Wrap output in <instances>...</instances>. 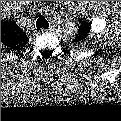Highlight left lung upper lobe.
I'll return each mask as SVG.
<instances>
[{
  "label": "left lung upper lobe",
  "mask_w": 121,
  "mask_h": 121,
  "mask_svg": "<svg viewBox=\"0 0 121 121\" xmlns=\"http://www.w3.org/2000/svg\"><path fill=\"white\" fill-rule=\"evenodd\" d=\"M89 32H90V24L84 21L79 27V33H78V37L76 38V40L78 41L83 40L84 38L88 36Z\"/></svg>",
  "instance_id": "1"
}]
</instances>
